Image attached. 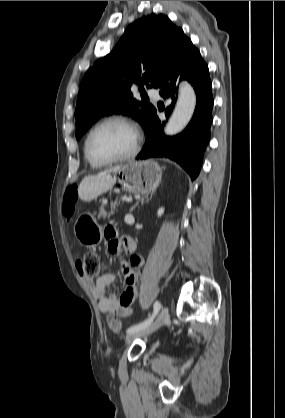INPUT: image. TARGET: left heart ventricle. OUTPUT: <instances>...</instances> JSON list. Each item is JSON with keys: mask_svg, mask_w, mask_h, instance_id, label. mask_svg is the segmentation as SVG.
I'll return each mask as SVG.
<instances>
[{"mask_svg": "<svg viewBox=\"0 0 285 418\" xmlns=\"http://www.w3.org/2000/svg\"><path fill=\"white\" fill-rule=\"evenodd\" d=\"M134 140V133L128 127L108 124L92 135L89 149L95 158H114L128 153L134 145Z\"/></svg>", "mask_w": 285, "mask_h": 418, "instance_id": "b2bd125f", "label": "left heart ventricle"}]
</instances>
